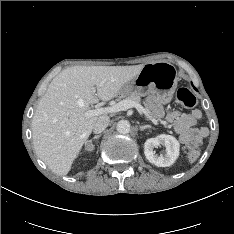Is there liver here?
<instances>
[{
  "label": "liver",
  "mask_w": 234,
  "mask_h": 234,
  "mask_svg": "<svg viewBox=\"0 0 234 234\" xmlns=\"http://www.w3.org/2000/svg\"><path fill=\"white\" fill-rule=\"evenodd\" d=\"M143 66H74L51 81L38 103L32 132L37 155L54 173L70 171L90 136L99 118L86 116L90 106L116 97Z\"/></svg>",
  "instance_id": "6515ba94"
}]
</instances>
